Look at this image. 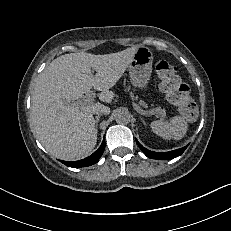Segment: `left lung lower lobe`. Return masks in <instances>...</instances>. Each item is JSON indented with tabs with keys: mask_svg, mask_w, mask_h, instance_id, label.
<instances>
[{
	"mask_svg": "<svg viewBox=\"0 0 231 231\" xmlns=\"http://www.w3.org/2000/svg\"><path fill=\"white\" fill-rule=\"evenodd\" d=\"M139 148L145 153V155L149 158H153V159H159V160H169V159H173L176 158L178 156H180L185 149L187 148V146L177 149V150H173L170 152H164V153H159V152H153L150 151L146 148H144L137 140H136Z\"/></svg>",
	"mask_w": 231,
	"mask_h": 231,
	"instance_id": "obj_1",
	"label": "left lung lower lobe"
}]
</instances>
